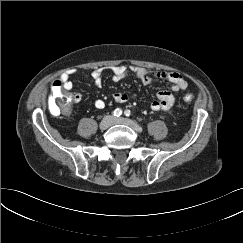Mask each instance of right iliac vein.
I'll list each match as a JSON object with an SVG mask.
<instances>
[{
	"label": "right iliac vein",
	"instance_id": "obj_1",
	"mask_svg": "<svg viewBox=\"0 0 243 243\" xmlns=\"http://www.w3.org/2000/svg\"><path fill=\"white\" fill-rule=\"evenodd\" d=\"M111 124H112V117L106 116L99 123V128L101 130H106L107 128H109L111 126Z\"/></svg>",
	"mask_w": 243,
	"mask_h": 243
}]
</instances>
